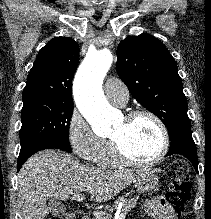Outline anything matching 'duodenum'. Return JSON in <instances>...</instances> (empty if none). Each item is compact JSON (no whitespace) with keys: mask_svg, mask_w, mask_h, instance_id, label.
Masks as SVG:
<instances>
[{"mask_svg":"<svg viewBox=\"0 0 211 219\" xmlns=\"http://www.w3.org/2000/svg\"><path fill=\"white\" fill-rule=\"evenodd\" d=\"M75 219H91L90 216L82 214L81 212H74Z\"/></svg>","mask_w":211,"mask_h":219,"instance_id":"410a0bca","label":"duodenum"}]
</instances>
